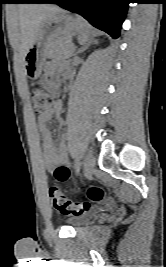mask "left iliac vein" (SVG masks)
<instances>
[{
  "label": "left iliac vein",
  "mask_w": 166,
  "mask_h": 267,
  "mask_svg": "<svg viewBox=\"0 0 166 267\" xmlns=\"http://www.w3.org/2000/svg\"><path fill=\"white\" fill-rule=\"evenodd\" d=\"M95 167V158L88 152L84 159V174L86 177H91Z\"/></svg>",
  "instance_id": "obj_1"
}]
</instances>
